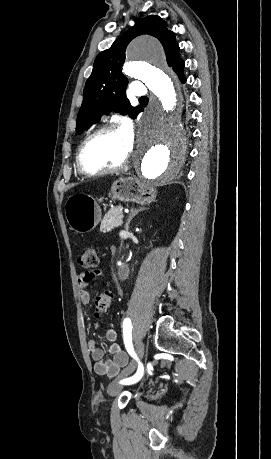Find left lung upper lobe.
<instances>
[{"label":"left lung upper lobe","instance_id":"obj_1","mask_svg":"<svg viewBox=\"0 0 271 459\" xmlns=\"http://www.w3.org/2000/svg\"><path fill=\"white\" fill-rule=\"evenodd\" d=\"M148 34L156 37L162 44L167 63L174 67L179 58V46L174 33L167 29V23L159 16L150 15L136 21L135 25L118 38L112 46L102 51L95 59L93 71L87 79L83 102L80 107L76 132L83 133L104 114L111 110L129 114L134 118L143 109L130 106L126 96L127 78L121 68L125 61L128 44L137 36Z\"/></svg>","mask_w":271,"mask_h":459}]
</instances>
